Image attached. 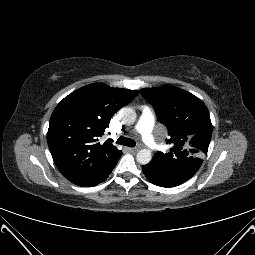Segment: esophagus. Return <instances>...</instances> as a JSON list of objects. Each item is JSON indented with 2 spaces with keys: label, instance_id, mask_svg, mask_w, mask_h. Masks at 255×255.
<instances>
[{
  "label": "esophagus",
  "instance_id": "obj_1",
  "mask_svg": "<svg viewBox=\"0 0 255 255\" xmlns=\"http://www.w3.org/2000/svg\"><path fill=\"white\" fill-rule=\"evenodd\" d=\"M128 150H129L131 153H136V152L139 150V148L133 147V148H128Z\"/></svg>",
  "mask_w": 255,
  "mask_h": 255
}]
</instances>
